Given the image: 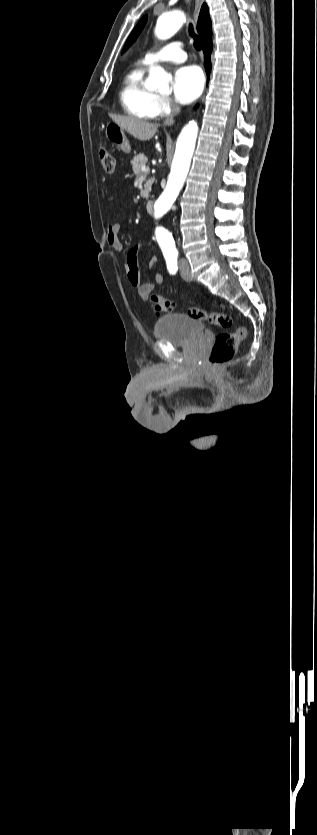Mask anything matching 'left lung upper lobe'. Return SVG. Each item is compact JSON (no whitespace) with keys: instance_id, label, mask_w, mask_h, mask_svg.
Masks as SVG:
<instances>
[{"instance_id":"5c2ea615","label":"left lung upper lobe","mask_w":317,"mask_h":835,"mask_svg":"<svg viewBox=\"0 0 317 835\" xmlns=\"http://www.w3.org/2000/svg\"><path fill=\"white\" fill-rule=\"evenodd\" d=\"M146 21H147V16L143 17L140 20V22L137 24V26L135 27V29L132 31L129 38L127 39L126 44H125L124 49H123V52L126 51L129 48V46L137 39V37L141 33L143 27L145 26Z\"/></svg>"}]
</instances>
